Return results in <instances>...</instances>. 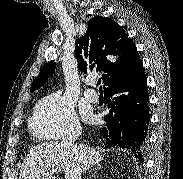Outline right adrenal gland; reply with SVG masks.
<instances>
[{
    "instance_id": "1",
    "label": "right adrenal gland",
    "mask_w": 183,
    "mask_h": 179,
    "mask_svg": "<svg viewBox=\"0 0 183 179\" xmlns=\"http://www.w3.org/2000/svg\"><path fill=\"white\" fill-rule=\"evenodd\" d=\"M100 167H101V164H100V163H97V164L95 165V167L93 168V171L96 172V170H97L98 168H100Z\"/></svg>"
}]
</instances>
